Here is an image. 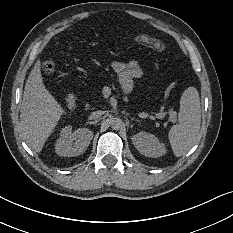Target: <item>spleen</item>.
<instances>
[{
	"label": "spleen",
	"instance_id": "spleen-1",
	"mask_svg": "<svg viewBox=\"0 0 233 233\" xmlns=\"http://www.w3.org/2000/svg\"><path fill=\"white\" fill-rule=\"evenodd\" d=\"M201 125V106L198 90L187 87L180 97L178 123L169 131V139L177 156L188 152L198 141Z\"/></svg>",
	"mask_w": 233,
	"mask_h": 233
}]
</instances>
